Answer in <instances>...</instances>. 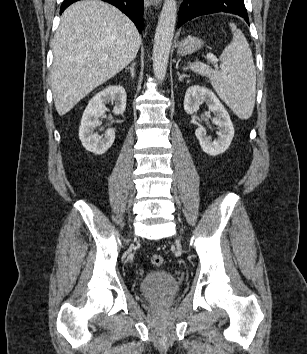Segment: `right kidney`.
<instances>
[{
  "label": "right kidney",
  "mask_w": 307,
  "mask_h": 354,
  "mask_svg": "<svg viewBox=\"0 0 307 354\" xmlns=\"http://www.w3.org/2000/svg\"><path fill=\"white\" fill-rule=\"evenodd\" d=\"M126 99L125 89L114 85L103 89L89 101L79 127V138L86 150L95 155H102L112 146L115 140L114 129L108 128L102 137L94 133V129L99 125V118L107 110V103H114L113 113L120 115L126 109Z\"/></svg>",
  "instance_id": "right-kidney-1"
}]
</instances>
